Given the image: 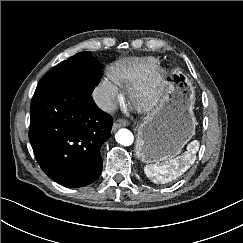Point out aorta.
Segmentation results:
<instances>
[{
    "label": "aorta",
    "instance_id": "762f6f07",
    "mask_svg": "<svg viewBox=\"0 0 243 243\" xmlns=\"http://www.w3.org/2000/svg\"><path fill=\"white\" fill-rule=\"evenodd\" d=\"M116 141L123 146H130L134 141L132 132L128 129H120L115 135Z\"/></svg>",
    "mask_w": 243,
    "mask_h": 243
}]
</instances>
